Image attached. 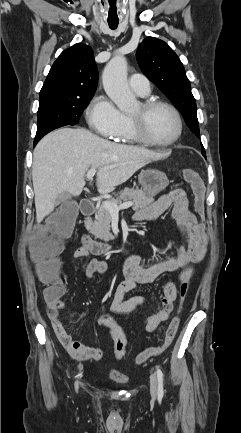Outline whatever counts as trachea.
Segmentation results:
<instances>
[{
    "mask_svg": "<svg viewBox=\"0 0 241 433\" xmlns=\"http://www.w3.org/2000/svg\"><path fill=\"white\" fill-rule=\"evenodd\" d=\"M107 19L110 29L115 30L119 24V14L117 5L114 2L108 5Z\"/></svg>",
    "mask_w": 241,
    "mask_h": 433,
    "instance_id": "trachea-1",
    "label": "trachea"
}]
</instances>
